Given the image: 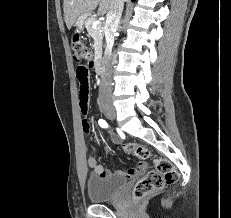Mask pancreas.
<instances>
[{
	"mask_svg": "<svg viewBox=\"0 0 231 218\" xmlns=\"http://www.w3.org/2000/svg\"><path fill=\"white\" fill-rule=\"evenodd\" d=\"M96 21L95 17H88L85 20V27L89 35L94 40V48L96 52L101 51L102 48V39H103V26L100 23L96 28H93L92 24Z\"/></svg>",
	"mask_w": 231,
	"mask_h": 218,
	"instance_id": "obj_1",
	"label": "pancreas"
}]
</instances>
